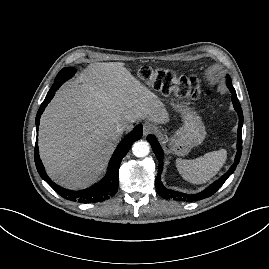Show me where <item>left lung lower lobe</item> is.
Here are the masks:
<instances>
[{
	"label": "left lung lower lobe",
	"mask_w": 269,
	"mask_h": 269,
	"mask_svg": "<svg viewBox=\"0 0 269 269\" xmlns=\"http://www.w3.org/2000/svg\"><path fill=\"white\" fill-rule=\"evenodd\" d=\"M226 84H227V87L229 88L230 92L232 93L233 106H234V108L239 116L238 139H237L238 152L236 154L234 164L230 167V169L221 178H219L216 182L211 184L208 188L201 191L200 193L189 195V194H184L181 192L166 189L160 180L161 172L163 169V157H162L163 151H162V148L159 145L157 139L153 135H149L147 137V140L150 142L152 149H153V152L155 153V155L159 161V169H158L159 172H158V175H157L156 180H155V186H156V190H157L158 194L160 196H162L163 198H165V199L171 198V199L178 200V201H198V200L207 198V197L213 195L224 184V182L228 179V177L236 169V166L240 161L241 152H242V135H241V133H242V126H243V113H242L240 103L237 99V95H236L234 87L232 86L231 82H226Z\"/></svg>",
	"instance_id": "obj_1"
}]
</instances>
